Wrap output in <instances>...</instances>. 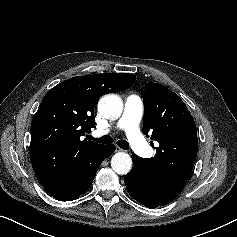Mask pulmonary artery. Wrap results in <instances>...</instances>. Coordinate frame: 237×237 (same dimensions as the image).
Segmentation results:
<instances>
[{"label": "pulmonary artery", "mask_w": 237, "mask_h": 237, "mask_svg": "<svg viewBox=\"0 0 237 237\" xmlns=\"http://www.w3.org/2000/svg\"><path fill=\"white\" fill-rule=\"evenodd\" d=\"M143 116V102L137 95H129L125 100L123 114L118 121V127L125 131L134 152L142 157L151 154V147L142 137L139 124ZM109 129L95 131L96 135L107 134Z\"/></svg>", "instance_id": "pulmonary-artery-1"}]
</instances>
